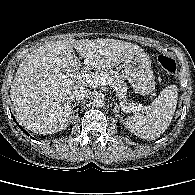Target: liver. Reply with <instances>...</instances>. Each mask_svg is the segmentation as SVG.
Returning a JSON list of instances; mask_svg holds the SVG:
<instances>
[{
    "label": "liver",
    "instance_id": "obj_1",
    "mask_svg": "<svg viewBox=\"0 0 195 195\" xmlns=\"http://www.w3.org/2000/svg\"><path fill=\"white\" fill-rule=\"evenodd\" d=\"M74 48L84 58L85 69L96 71L144 53L136 44L115 39H65L33 50L20 63L10 89L16 117L28 130L54 134L69 124L78 81L60 70L80 66Z\"/></svg>",
    "mask_w": 195,
    "mask_h": 195
}]
</instances>
